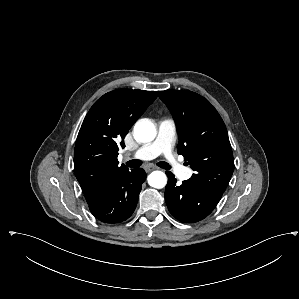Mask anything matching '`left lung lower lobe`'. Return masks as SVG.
Returning a JSON list of instances; mask_svg holds the SVG:
<instances>
[{"instance_id": "0a47b994", "label": "left lung lower lobe", "mask_w": 299, "mask_h": 299, "mask_svg": "<svg viewBox=\"0 0 299 299\" xmlns=\"http://www.w3.org/2000/svg\"><path fill=\"white\" fill-rule=\"evenodd\" d=\"M165 200L170 213L179 221L195 223L207 217L220 201V195L192 181L177 185L174 175L167 171Z\"/></svg>"}]
</instances>
